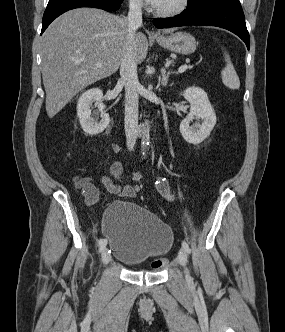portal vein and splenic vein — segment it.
Returning <instances> with one entry per match:
<instances>
[{
  "instance_id": "obj_1",
  "label": "portal vein and splenic vein",
  "mask_w": 285,
  "mask_h": 332,
  "mask_svg": "<svg viewBox=\"0 0 285 332\" xmlns=\"http://www.w3.org/2000/svg\"><path fill=\"white\" fill-rule=\"evenodd\" d=\"M167 64H169V62H167ZM95 66L96 67H101L102 65L101 64H96ZM187 69H188V66L185 64V65H182V66L179 67L178 72L183 73Z\"/></svg>"
}]
</instances>
